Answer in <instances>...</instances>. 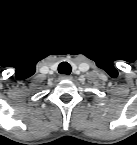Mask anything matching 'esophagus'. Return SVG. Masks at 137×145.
Returning a JSON list of instances; mask_svg holds the SVG:
<instances>
[{
  "instance_id": "1",
  "label": "esophagus",
  "mask_w": 137,
  "mask_h": 145,
  "mask_svg": "<svg viewBox=\"0 0 137 145\" xmlns=\"http://www.w3.org/2000/svg\"><path fill=\"white\" fill-rule=\"evenodd\" d=\"M60 79H62V80H71L72 77L70 75L63 74V75L60 76Z\"/></svg>"
}]
</instances>
